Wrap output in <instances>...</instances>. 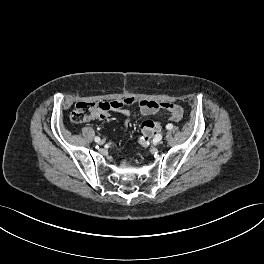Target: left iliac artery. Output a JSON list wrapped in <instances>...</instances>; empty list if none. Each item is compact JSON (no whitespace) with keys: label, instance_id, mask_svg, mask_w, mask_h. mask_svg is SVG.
<instances>
[{"label":"left iliac artery","instance_id":"obj_1","mask_svg":"<svg viewBox=\"0 0 264 264\" xmlns=\"http://www.w3.org/2000/svg\"><path fill=\"white\" fill-rule=\"evenodd\" d=\"M166 128H167L168 130H171V129L173 128V125H172V124H167V125H166Z\"/></svg>","mask_w":264,"mask_h":264}]
</instances>
